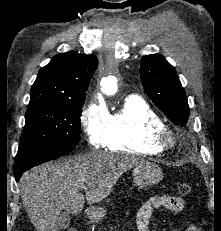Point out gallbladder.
Returning a JSON list of instances; mask_svg holds the SVG:
<instances>
[{
	"instance_id": "1",
	"label": "gallbladder",
	"mask_w": 221,
	"mask_h": 231,
	"mask_svg": "<svg viewBox=\"0 0 221 231\" xmlns=\"http://www.w3.org/2000/svg\"><path fill=\"white\" fill-rule=\"evenodd\" d=\"M69 224H70L69 213L66 211L61 212V214L59 215V219H58V228L64 230L68 228Z\"/></svg>"
}]
</instances>
